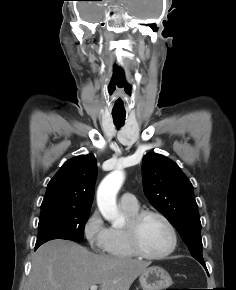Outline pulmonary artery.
Masks as SVG:
<instances>
[{
    "label": "pulmonary artery",
    "instance_id": "obj_1",
    "mask_svg": "<svg viewBox=\"0 0 236 290\" xmlns=\"http://www.w3.org/2000/svg\"><path fill=\"white\" fill-rule=\"evenodd\" d=\"M120 205L133 209L138 207V201L133 193L126 192L120 198Z\"/></svg>",
    "mask_w": 236,
    "mask_h": 290
}]
</instances>
